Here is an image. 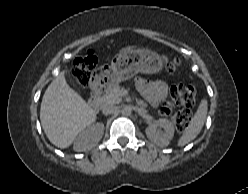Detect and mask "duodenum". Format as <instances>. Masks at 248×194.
Wrapping results in <instances>:
<instances>
[{
  "label": "duodenum",
  "instance_id": "1",
  "mask_svg": "<svg viewBox=\"0 0 248 194\" xmlns=\"http://www.w3.org/2000/svg\"><path fill=\"white\" fill-rule=\"evenodd\" d=\"M101 92H102L101 88L95 89L91 92V95L89 96L88 101H87V107L90 110L96 111L98 109L99 104H100L99 97H100Z\"/></svg>",
  "mask_w": 248,
  "mask_h": 194
}]
</instances>
